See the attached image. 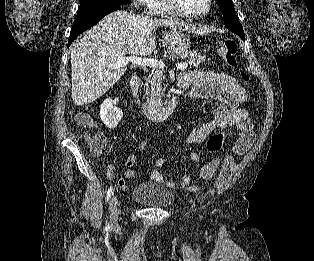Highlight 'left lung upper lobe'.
<instances>
[{
  "instance_id": "obj_1",
  "label": "left lung upper lobe",
  "mask_w": 314,
  "mask_h": 261,
  "mask_svg": "<svg viewBox=\"0 0 314 261\" xmlns=\"http://www.w3.org/2000/svg\"><path fill=\"white\" fill-rule=\"evenodd\" d=\"M217 2L225 20V27L239 36H244V31L235 13L232 0H217Z\"/></svg>"
}]
</instances>
